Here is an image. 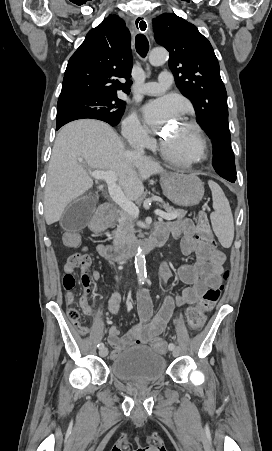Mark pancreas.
<instances>
[{
	"label": "pancreas",
	"mask_w": 272,
	"mask_h": 451,
	"mask_svg": "<svg viewBox=\"0 0 272 451\" xmlns=\"http://www.w3.org/2000/svg\"><path fill=\"white\" fill-rule=\"evenodd\" d=\"M161 208H165L167 214H176L178 220H183L187 214L186 210H175V208H172L169 204H162ZM116 226V229L112 231L114 237L113 245H116V247H126L129 243L137 241L134 220H132L129 214H125V212L124 214H120V220H118Z\"/></svg>",
	"instance_id": "1"
}]
</instances>
